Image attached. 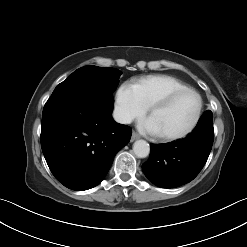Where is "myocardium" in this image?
<instances>
[{"label": "myocardium", "mask_w": 247, "mask_h": 247, "mask_svg": "<svg viewBox=\"0 0 247 247\" xmlns=\"http://www.w3.org/2000/svg\"><path fill=\"white\" fill-rule=\"evenodd\" d=\"M186 93H192L194 95L197 96L198 101H199V105H198V109L195 115V118L193 120V122L191 123V125L184 130L183 132L176 134V135H160L158 134V138L164 142H175V141H179L182 140L186 137H188L199 125L201 118H202V114H203V108H204V100L202 95L193 88H184V89H179V90H174L171 91L167 94H165L164 96H162L161 98H159L157 101H155L148 109V115H151L152 112H154L155 110H160V109H164L166 107H168L174 99H176L178 96L186 94Z\"/></svg>", "instance_id": "1"}]
</instances>
